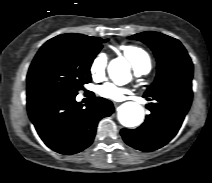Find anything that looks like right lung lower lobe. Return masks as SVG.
Returning <instances> with one entry per match:
<instances>
[{
  "label": "right lung lower lobe",
  "mask_w": 212,
  "mask_h": 183,
  "mask_svg": "<svg viewBox=\"0 0 212 183\" xmlns=\"http://www.w3.org/2000/svg\"><path fill=\"white\" fill-rule=\"evenodd\" d=\"M74 94L56 90L27 92V109L40 138L52 150L76 154L94 140L98 122L110 116L111 101L94 97L85 109Z\"/></svg>",
  "instance_id": "98d812e1"
}]
</instances>
